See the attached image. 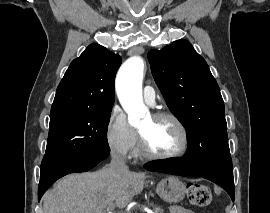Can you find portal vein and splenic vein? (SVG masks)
Returning <instances> with one entry per match:
<instances>
[{"mask_svg":"<svg viewBox=\"0 0 270 213\" xmlns=\"http://www.w3.org/2000/svg\"><path fill=\"white\" fill-rule=\"evenodd\" d=\"M109 209H110V211H108L107 213H113L112 210L114 209V206L109 207ZM151 213H153V212H151Z\"/></svg>","mask_w":270,"mask_h":213,"instance_id":"portal-vein-and-splenic-vein-1","label":"portal vein and splenic vein"}]
</instances>
